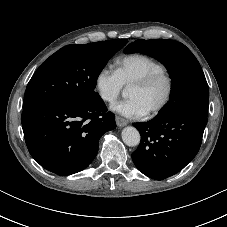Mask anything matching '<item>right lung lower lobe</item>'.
I'll return each instance as SVG.
<instances>
[{
	"label": "right lung lower lobe",
	"mask_w": 227,
	"mask_h": 227,
	"mask_svg": "<svg viewBox=\"0 0 227 227\" xmlns=\"http://www.w3.org/2000/svg\"><path fill=\"white\" fill-rule=\"evenodd\" d=\"M99 97L89 101L52 100L24 108L21 122L31 156L61 176L85 169L98 152L100 137L116 127Z\"/></svg>",
	"instance_id": "obj_1"
}]
</instances>
